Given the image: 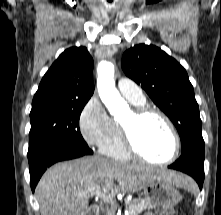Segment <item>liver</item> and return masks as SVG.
I'll list each match as a JSON object with an SVG mask.
<instances>
[{
	"label": "liver",
	"instance_id": "6515ba94",
	"mask_svg": "<svg viewBox=\"0 0 221 215\" xmlns=\"http://www.w3.org/2000/svg\"><path fill=\"white\" fill-rule=\"evenodd\" d=\"M154 180L179 187L192 184L189 177L175 171L92 156L53 165L43 174L35 192L41 215H87L90 196L134 193ZM101 188L103 191L96 194L95 190Z\"/></svg>",
	"mask_w": 221,
	"mask_h": 215
}]
</instances>
